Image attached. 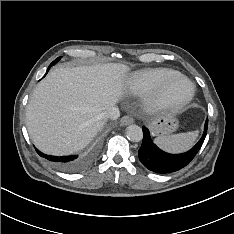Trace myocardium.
Segmentation results:
<instances>
[{"label":"myocardium","instance_id":"obj_1","mask_svg":"<svg viewBox=\"0 0 234 234\" xmlns=\"http://www.w3.org/2000/svg\"><path fill=\"white\" fill-rule=\"evenodd\" d=\"M178 82H186L189 85V91L183 96H173L170 91L171 88ZM195 95L194 84L182 75H178L160 87L149 95L146 107L149 111L155 112L163 109H179L188 104Z\"/></svg>","mask_w":234,"mask_h":234}]
</instances>
